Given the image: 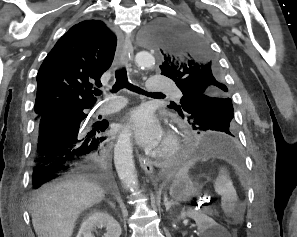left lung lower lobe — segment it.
Here are the masks:
<instances>
[{
  "mask_svg": "<svg viewBox=\"0 0 297 237\" xmlns=\"http://www.w3.org/2000/svg\"><path fill=\"white\" fill-rule=\"evenodd\" d=\"M237 153L235 140L216 130H198L197 135L186 144L182 155L185 159L211 155L229 158L236 156Z\"/></svg>",
  "mask_w": 297,
  "mask_h": 237,
  "instance_id": "0a47b994",
  "label": "left lung lower lobe"
}]
</instances>
